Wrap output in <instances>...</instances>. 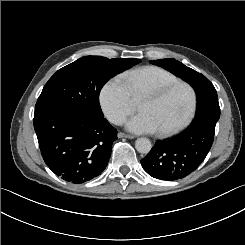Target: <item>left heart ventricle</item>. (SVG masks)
<instances>
[{"label": "left heart ventricle", "mask_w": 245, "mask_h": 245, "mask_svg": "<svg viewBox=\"0 0 245 245\" xmlns=\"http://www.w3.org/2000/svg\"><path fill=\"white\" fill-rule=\"evenodd\" d=\"M190 106V95L186 88L180 87L163 100L150 95L136 102L139 112H146L159 130L169 129L179 123L187 114Z\"/></svg>", "instance_id": "1"}]
</instances>
